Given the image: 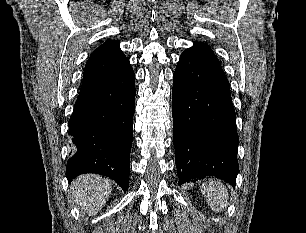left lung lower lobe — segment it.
<instances>
[{"label":"left lung lower lobe","instance_id":"obj_1","mask_svg":"<svg viewBox=\"0 0 306 233\" xmlns=\"http://www.w3.org/2000/svg\"><path fill=\"white\" fill-rule=\"evenodd\" d=\"M173 142L179 185L217 176L235 186L239 138L228 80L216 57L184 51L173 75Z\"/></svg>","mask_w":306,"mask_h":233}]
</instances>
